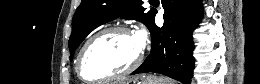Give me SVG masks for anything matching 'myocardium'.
Segmentation results:
<instances>
[{
	"mask_svg": "<svg viewBox=\"0 0 260 84\" xmlns=\"http://www.w3.org/2000/svg\"><path fill=\"white\" fill-rule=\"evenodd\" d=\"M108 32H120V33L135 36L133 31L130 28L123 26V25L107 26V27L101 28L100 30H98L94 34H92L87 39L85 44L83 45V47L80 50L78 57H77L76 71H77L79 78L81 80H83L84 82H87V83H106V82H110V81L122 78V77L132 73L133 71H135L142 64V62L144 60V50L141 48L137 58L135 59V61L129 67H127L125 70H123L119 73H116V74H112V75L100 78V79L91 80V79L85 78L82 74V65H83L84 56H85L86 52L88 51L89 47L91 46V44L94 42V40L96 38H98L99 36H101L102 34H105V33H108Z\"/></svg>",
	"mask_w": 260,
	"mask_h": 84,
	"instance_id": "1",
	"label": "myocardium"
}]
</instances>
